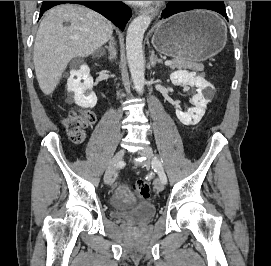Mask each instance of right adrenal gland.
I'll return each mask as SVG.
<instances>
[{"instance_id":"1","label":"right adrenal gland","mask_w":271,"mask_h":266,"mask_svg":"<svg viewBox=\"0 0 271 266\" xmlns=\"http://www.w3.org/2000/svg\"><path fill=\"white\" fill-rule=\"evenodd\" d=\"M105 48L109 52V60L112 61L113 59H116L117 51H116V48H115L114 37L110 38L109 46H105Z\"/></svg>"}]
</instances>
